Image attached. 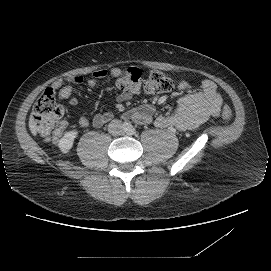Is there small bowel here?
<instances>
[{"label": "small bowel", "mask_w": 271, "mask_h": 271, "mask_svg": "<svg viewBox=\"0 0 271 271\" xmlns=\"http://www.w3.org/2000/svg\"><path fill=\"white\" fill-rule=\"evenodd\" d=\"M106 70H98L93 73V78L88 80L87 84L90 88H95L103 82L107 76ZM113 77H119L121 70L117 67L110 70ZM83 83V77L80 75H71L62 79L55 80L51 88L58 92L59 100H67L69 104L76 105L78 99L74 94V89ZM191 84L187 81H182L178 85L179 90L191 89ZM131 98V93L121 91L117 100L119 102L127 101ZM222 98L218 92L217 85L211 80L202 82L199 90L189 92L188 94L178 98L174 104V109L170 114L159 115L155 118L154 124L159 128H173L181 132L194 130L204 124L209 118L220 115ZM154 108L149 105H143L135 108L125 116L130 117L134 121L147 124L153 119ZM113 118L111 112H103L95 114L91 123L99 128L108 123ZM90 120L82 116L79 119L78 125L81 128L87 127ZM62 131V130H61ZM57 131L54 139L57 140L61 134Z\"/></svg>", "instance_id": "1"}]
</instances>
